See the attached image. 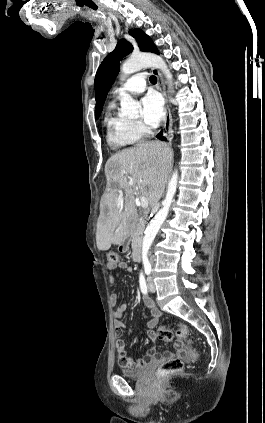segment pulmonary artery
<instances>
[{"label": "pulmonary artery", "instance_id": "pulmonary-artery-1", "mask_svg": "<svg viewBox=\"0 0 265 423\" xmlns=\"http://www.w3.org/2000/svg\"><path fill=\"white\" fill-rule=\"evenodd\" d=\"M146 79L144 73H139L131 77L127 82L115 90L117 95L121 94H139L145 90Z\"/></svg>", "mask_w": 265, "mask_h": 423}]
</instances>
